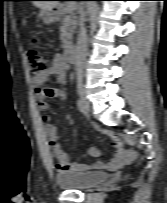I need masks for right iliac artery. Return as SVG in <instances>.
<instances>
[{
  "label": "right iliac artery",
  "mask_w": 167,
  "mask_h": 203,
  "mask_svg": "<svg viewBox=\"0 0 167 203\" xmlns=\"http://www.w3.org/2000/svg\"><path fill=\"white\" fill-rule=\"evenodd\" d=\"M77 107H78L80 112H82V113L85 112V106H84V104H83L81 99L77 100Z\"/></svg>",
  "instance_id": "82829eb1"
}]
</instances>
